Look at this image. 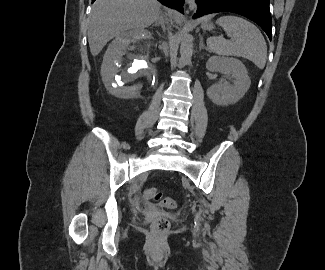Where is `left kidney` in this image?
Masks as SVG:
<instances>
[{
	"instance_id": "obj_1",
	"label": "left kidney",
	"mask_w": 325,
	"mask_h": 270,
	"mask_svg": "<svg viewBox=\"0 0 325 270\" xmlns=\"http://www.w3.org/2000/svg\"><path fill=\"white\" fill-rule=\"evenodd\" d=\"M206 68L211 72H230L234 77L233 84L224 82L208 88V97L217 105L228 106L238 102L250 87L247 69L238 59L212 56L208 59Z\"/></svg>"
}]
</instances>
